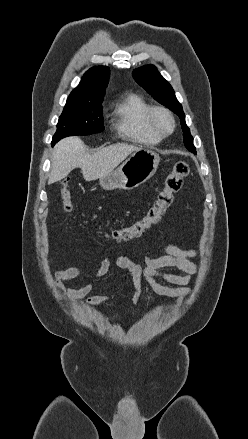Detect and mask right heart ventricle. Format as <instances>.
Returning a JSON list of instances; mask_svg holds the SVG:
<instances>
[{
	"instance_id": "1",
	"label": "right heart ventricle",
	"mask_w": 248,
	"mask_h": 439,
	"mask_svg": "<svg viewBox=\"0 0 248 439\" xmlns=\"http://www.w3.org/2000/svg\"><path fill=\"white\" fill-rule=\"evenodd\" d=\"M152 106L139 94L128 93L115 103L111 112V125L124 139L142 144L156 145L162 137L150 126Z\"/></svg>"
}]
</instances>
